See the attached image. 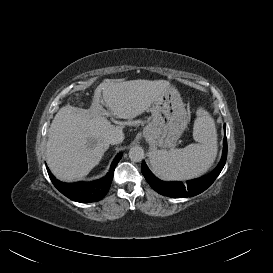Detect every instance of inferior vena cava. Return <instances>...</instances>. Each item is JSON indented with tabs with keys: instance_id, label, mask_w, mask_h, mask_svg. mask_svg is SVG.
<instances>
[{
	"instance_id": "602c4592",
	"label": "inferior vena cava",
	"mask_w": 273,
	"mask_h": 273,
	"mask_svg": "<svg viewBox=\"0 0 273 273\" xmlns=\"http://www.w3.org/2000/svg\"><path fill=\"white\" fill-rule=\"evenodd\" d=\"M110 144H120L124 140V133L122 129H115L109 136Z\"/></svg>"
}]
</instances>
